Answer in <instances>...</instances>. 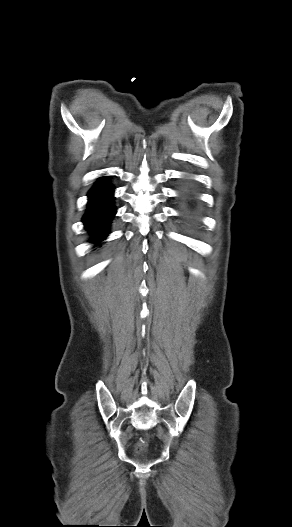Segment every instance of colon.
Here are the masks:
<instances>
[{"label":"colon","instance_id":"1","mask_svg":"<svg viewBox=\"0 0 292 527\" xmlns=\"http://www.w3.org/2000/svg\"><path fill=\"white\" fill-rule=\"evenodd\" d=\"M145 447V441L144 440H141L138 444H137V447H136V450L137 452H141Z\"/></svg>","mask_w":292,"mask_h":527}]
</instances>
